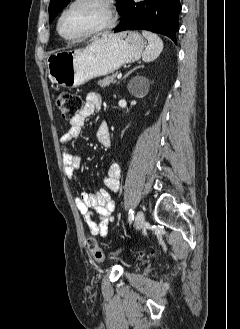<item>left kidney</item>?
Returning a JSON list of instances; mask_svg holds the SVG:
<instances>
[{"mask_svg":"<svg viewBox=\"0 0 240 329\" xmlns=\"http://www.w3.org/2000/svg\"><path fill=\"white\" fill-rule=\"evenodd\" d=\"M149 88V81L145 77H135L128 85L129 91L136 97L142 98Z\"/></svg>","mask_w":240,"mask_h":329,"instance_id":"5707ae66","label":"left kidney"}]
</instances>
